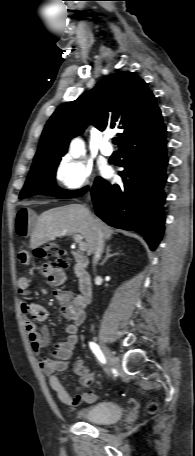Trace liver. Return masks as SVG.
<instances>
[{
  "instance_id": "1",
  "label": "liver",
  "mask_w": 195,
  "mask_h": 456,
  "mask_svg": "<svg viewBox=\"0 0 195 456\" xmlns=\"http://www.w3.org/2000/svg\"><path fill=\"white\" fill-rule=\"evenodd\" d=\"M100 231L103 240H109L113 229L95 217L87 207L71 204L49 209L38 218L31 234L30 247L36 249L57 237L80 234L87 245V255L94 253L97 232Z\"/></svg>"
}]
</instances>
